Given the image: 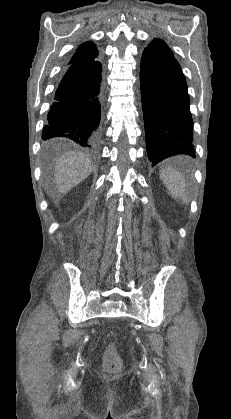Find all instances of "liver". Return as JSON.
Here are the masks:
<instances>
[{"mask_svg": "<svg viewBox=\"0 0 231 419\" xmlns=\"http://www.w3.org/2000/svg\"><path fill=\"white\" fill-rule=\"evenodd\" d=\"M91 171L92 164L87 155L77 152L64 154L55 166L54 179L58 194H66L87 178Z\"/></svg>", "mask_w": 231, "mask_h": 419, "instance_id": "1", "label": "liver"}]
</instances>
